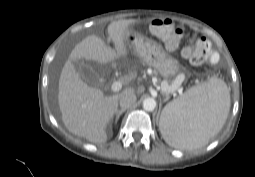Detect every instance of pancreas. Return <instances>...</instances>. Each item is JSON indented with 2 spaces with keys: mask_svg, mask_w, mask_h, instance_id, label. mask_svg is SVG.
Here are the masks:
<instances>
[{
  "mask_svg": "<svg viewBox=\"0 0 255 177\" xmlns=\"http://www.w3.org/2000/svg\"><path fill=\"white\" fill-rule=\"evenodd\" d=\"M174 84L172 83L171 85L168 84L167 81H163L162 84H161V88H162V91L164 92V88L167 87V86H173Z\"/></svg>",
  "mask_w": 255,
  "mask_h": 177,
  "instance_id": "pancreas-1",
  "label": "pancreas"
}]
</instances>
